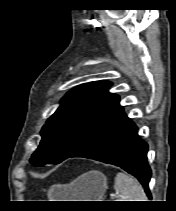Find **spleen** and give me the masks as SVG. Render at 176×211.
Wrapping results in <instances>:
<instances>
[{
  "instance_id": "1",
  "label": "spleen",
  "mask_w": 176,
  "mask_h": 211,
  "mask_svg": "<svg viewBox=\"0 0 176 211\" xmlns=\"http://www.w3.org/2000/svg\"><path fill=\"white\" fill-rule=\"evenodd\" d=\"M114 189L120 195L117 201H148L141 184L124 172L116 175Z\"/></svg>"
}]
</instances>
